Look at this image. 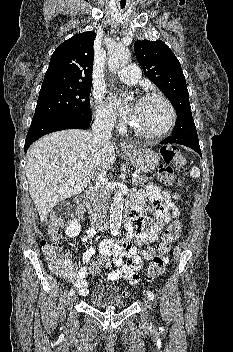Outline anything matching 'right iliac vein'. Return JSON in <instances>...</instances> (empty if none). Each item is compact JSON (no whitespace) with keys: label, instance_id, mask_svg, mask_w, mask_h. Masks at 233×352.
<instances>
[{"label":"right iliac vein","instance_id":"right-iliac-vein-1","mask_svg":"<svg viewBox=\"0 0 233 352\" xmlns=\"http://www.w3.org/2000/svg\"><path fill=\"white\" fill-rule=\"evenodd\" d=\"M77 299V296L75 294L71 295V301H75Z\"/></svg>","mask_w":233,"mask_h":352}]
</instances>
